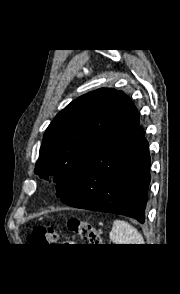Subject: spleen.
<instances>
[{"label":"spleen","instance_id":"obj_1","mask_svg":"<svg viewBox=\"0 0 180 294\" xmlns=\"http://www.w3.org/2000/svg\"><path fill=\"white\" fill-rule=\"evenodd\" d=\"M110 240L114 244H145L138 230L123 220H115L110 232Z\"/></svg>","mask_w":180,"mask_h":294}]
</instances>
